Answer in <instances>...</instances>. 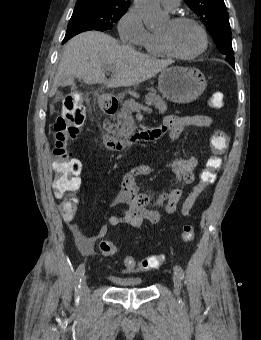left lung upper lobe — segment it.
<instances>
[{
  "mask_svg": "<svg viewBox=\"0 0 261 340\" xmlns=\"http://www.w3.org/2000/svg\"><path fill=\"white\" fill-rule=\"evenodd\" d=\"M213 37L219 51L234 62L229 15L223 0H185Z\"/></svg>",
  "mask_w": 261,
  "mask_h": 340,
  "instance_id": "obj_1",
  "label": "left lung upper lobe"
}]
</instances>
